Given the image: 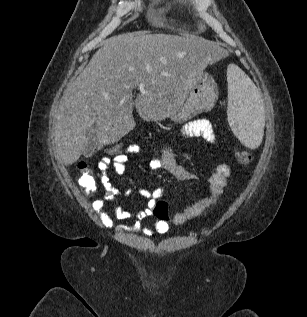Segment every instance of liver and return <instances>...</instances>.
Returning <instances> with one entry per match:
<instances>
[{"label":"liver","mask_w":307,"mask_h":317,"mask_svg":"<svg viewBox=\"0 0 307 317\" xmlns=\"http://www.w3.org/2000/svg\"><path fill=\"white\" fill-rule=\"evenodd\" d=\"M226 49L191 34H122L105 40L68 84L55 119L56 154L65 165L82 155L96 124L98 149L135 127L133 106L145 121H161L180 107L193 78ZM144 85L133 102L132 90Z\"/></svg>","instance_id":"1"}]
</instances>
